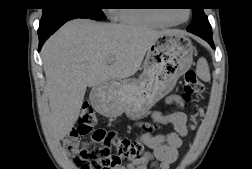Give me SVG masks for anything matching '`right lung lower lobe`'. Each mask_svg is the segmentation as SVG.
<instances>
[{
	"label": "right lung lower lobe",
	"mask_w": 252,
	"mask_h": 169,
	"mask_svg": "<svg viewBox=\"0 0 252 169\" xmlns=\"http://www.w3.org/2000/svg\"><path fill=\"white\" fill-rule=\"evenodd\" d=\"M69 20H72V19L71 18L61 19L53 23H50L48 25L40 26L38 30L39 41H40L39 50L41 49L46 39Z\"/></svg>",
	"instance_id": "1"
}]
</instances>
